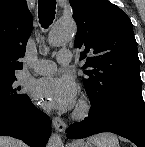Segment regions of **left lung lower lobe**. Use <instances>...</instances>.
<instances>
[{
  "label": "left lung lower lobe",
  "instance_id": "1",
  "mask_svg": "<svg viewBox=\"0 0 145 147\" xmlns=\"http://www.w3.org/2000/svg\"><path fill=\"white\" fill-rule=\"evenodd\" d=\"M101 132H112L131 140L137 147H145V104L142 93L121 97L102 111L91 107L88 117L70 125L68 139L85 138Z\"/></svg>",
  "mask_w": 145,
  "mask_h": 147
}]
</instances>
